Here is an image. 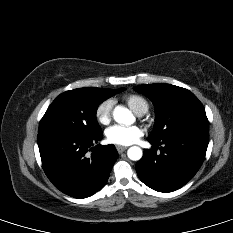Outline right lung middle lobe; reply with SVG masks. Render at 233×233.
I'll list each match as a JSON object with an SVG mask.
<instances>
[{"label":"right lung middle lobe","instance_id":"obj_1","mask_svg":"<svg viewBox=\"0 0 233 233\" xmlns=\"http://www.w3.org/2000/svg\"><path fill=\"white\" fill-rule=\"evenodd\" d=\"M93 92L78 88L63 92L48 107L40 121L38 133L66 131L86 136L102 133L96 121V111L101 102L124 91Z\"/></svg>","mask_w":233,"mask_h":233}]
</instances>
